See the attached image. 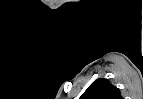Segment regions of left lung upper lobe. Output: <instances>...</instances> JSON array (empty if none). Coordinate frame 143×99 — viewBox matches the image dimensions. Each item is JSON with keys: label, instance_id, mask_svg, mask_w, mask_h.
Instances as JSON below:
<instances>
[{"label": "left lung upper lobe", "instance_id": "obj_1", "mask_svg": "<svg viewBox=\"0 0 143 99\" xmlns=\"http://www.w3.org/2000/svg\"><path fill=\"white\" fill-rule=\"evenodd\" d=\"M80 99H122L120 90L112 85L108 79L95 80Z\"/></svg>", "mask_w": 143, "mask_h": 99}]
</instances>
